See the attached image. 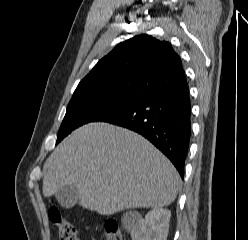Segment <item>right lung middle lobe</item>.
I'll use <instances>...</instances> for the list:
<instances>
[{
  "instance_id": "1",
  "label": "right lung middle lobe",
  "mask_w": 248,
  "mask_h": 240,
  "mask_svg": "<svg viewBox=\"0 0 248 240\" xmlns=\"http://www.w3.org/2000/svg\"><path fill=\"white\" fill-rule=\"evenodd\" d=\"M140 98L142 97L125 94L111 88L75 90L67 106L56 144L77 127L89 122L100 121Z\"/></svg>"
}]
</instances>
